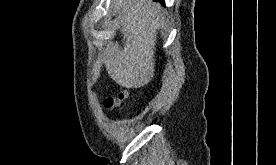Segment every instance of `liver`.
Returning a JSON list of instances; mask_svg holds the SVG:
<instances>
[{
    "instance_id": "1",
    "label": "liver",
    "mask_w": 276,
    "mask_h": 165,
    "mask_svg": "<svg viewBox=\"0 0 276 165\" xmlns=\"http://www.w3.org/2000/svg\"><path fill=\"white\" fill-rule=\"evenodd\" d=\"M121 17L124 49H107L103 58L110 77L125 88L147 85L155 72V45L162 18L159 3L151 0L114 1V14Z\"/></svg>"
}]
</instances>
